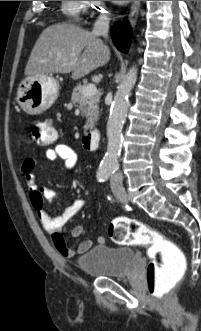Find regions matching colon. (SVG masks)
<instances>
[{"label": "colon", "instance_id": "obj_1", "mask_svg": "<svg viewBox=\"0 0 201 331\" xmlns=\"http://www.w3.org/2000/svg\"><path fill=\"white\" fill-rule=\"evenodd\" d=\"M34 144L46 146L56 140V132L50 121L37 120L31 125ZM109 237L120 245H146L151 258L146 268L149 294L164 306L168 295L182 278L186 263L181 250L158 231L139 221L118 217L109 226Z\"/></svg>", "mask_w": 201, "mask_h": 331}]
</instances>
